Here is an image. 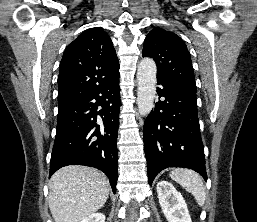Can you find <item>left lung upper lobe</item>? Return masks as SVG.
Here are the masks:
<instances>
[{
	"label": "left lung upper lobe",
	"mask_w": 257,
	"mask_h": 222,
	"mask_svg": "<svg viewBox=\"0 0 257 222\" xmlns=\"http://www.w3.org/2000/svg\"><path fill=\"white\" fill-rule=\"evenodd\" d=\"M142 56L153 58L157 65V76L196 93L190 53L178 35L154 28L145 38Z\"/></svg>",
	"instance_id": "5c2ea615"
}]
</instances>
